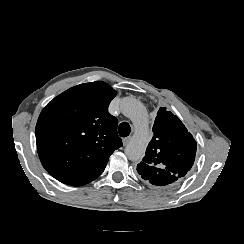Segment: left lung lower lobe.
<instances>
[{"label":"left lung lower lobe","instance_id":"left-lung-lower-lobe-1","mask_svg":"<svg viewBox=\"0 0 244 244\" xmlns=\"http://www.w3.org/2000/svg\"><path fill=\"white\" fill-rule=\"evenodd\" d=\"M142 176V178L144 179V180H147V181H149L151 184H153V185H157V186H165V185H169V184H172V183H174V182H176L178 179H176V180H174V181H172L171 183H169V184H164V183H161V182H153L151 179H149L148 177H146L145 175H141Z\"/></svg>","mask_w":244,"mask_h":244}]
</instances>
